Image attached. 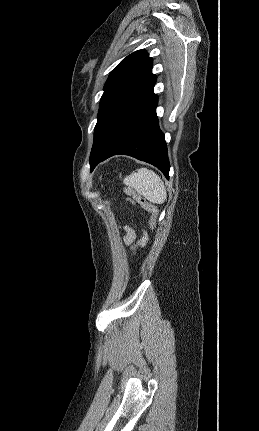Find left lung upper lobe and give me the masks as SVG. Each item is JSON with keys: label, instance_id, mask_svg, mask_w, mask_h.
<instances>
[{"label": "left lung upper lobe", "instance_id": "obj_1", "mask_svg": "<svg viewBox=\"0 0 259 431\" xmlns=\"http://www.w3.org/2000/svg\"><path fill=\"white\" fill-rule=\"evenodd\" d=\"M145 50L125 57L110 73L101 97L90 158L120 120L153 93L156 75Z\"/></svg>", "mask_w": 259, "mask_h": 431}]
</instances>
